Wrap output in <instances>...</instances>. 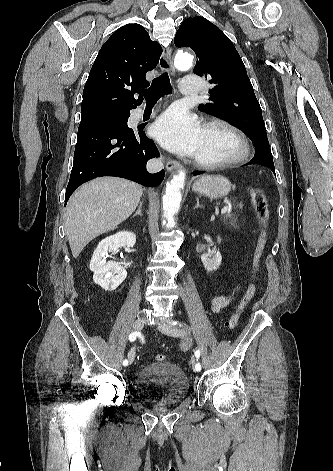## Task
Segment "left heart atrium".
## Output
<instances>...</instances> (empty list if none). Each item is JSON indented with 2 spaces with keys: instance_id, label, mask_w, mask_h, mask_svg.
<instances>
[{
  "instance_id": "1",
  "label": "left heart atrium",
  "mask_w": 333,
  "mask_h": 471,
  "mask_svg": "<svg viewBox=\"0 0 333 471\" xmlns=\"http://www.w3.org/2000/svg\"><path fill=\"white\" fill-rule=\"evenodd\" d=\"M202 132L197 117L181 108L167 110L153 126L154 137L165 148L188 156H196Z\"/></svg>"
}]
</instances>
